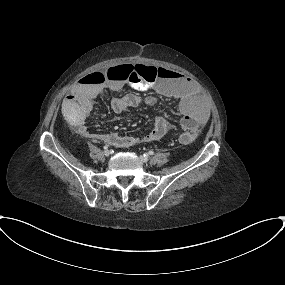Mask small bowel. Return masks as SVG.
Instances as JSON below:
<instances>
[{
    "label": "small bowel",
    "instance_id": "obj_1",
    "mask_svg": "<svg viewBox=\"0 0 285 285\" xmlns=\"http://www.w3.org/2000/svg\"><path fill=\"white\" fill-rule=\"evenodd\" d=\"M122 65L113 66L117 68ZM159 79L154 82L143 81L136 83L127 79H107L102 84L79 82L74 86L70 95L62 102V113L65 119L78 128V132L92 140L103 141L116 148H125L140 143L152 142L162 138L171 128L169 121L162 117L154 118L153 129L143 135L95 134L90 133L84 122L92 110V100L107 89L118 91L132 85L139 90H154L161 96L174 100L182 114L181 128L186 133L196 134L201 126L207 122L208 111L204 100L198 94L192 79L176 70L161 69ZM156 98L153 95L136 96L127 94L115 98L112 108L122 112L126 108L140 105H153Z\"/></svg>",
    "mask_w": 285,
    "mask_h": 285
}]
</instances>
